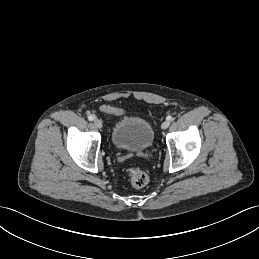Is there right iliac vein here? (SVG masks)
Wrapping results in <instances>:
<instances>
[{
	"label": "right iliac vein",
	"instance_id": "obj_1",
	"mask_svg": "<svg viewBox=\"0 0 259 259\" xmlns=\"http://www.w3.org/2000/svg\"><path fill=\"white\" fill-rule=\"evenodd\" d=\"M94 125L97 127V128H99V129H101L102 128V126H103V124H102V121L100 120V119H94Z\"/></svg>",
	"mask_w": 259,
	"mask_h": 259
}]
</instances>
